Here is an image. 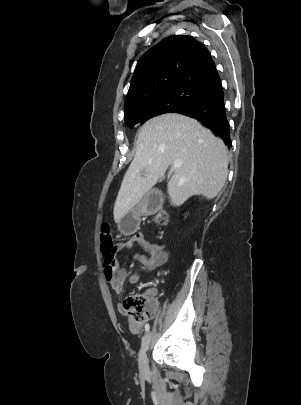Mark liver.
Listing matches in <instances>:
<instances>
[{
  "label": "liver",
  "instance_id": "6515ba94",
  "mask_svg": "<svg viewBox=\"0 0 301 405\" xmlns=\"http://www.w3.org/2000/svg\"><path fill=\"white\" fill-rule=\"evenodd\" d=\"M175 160L181 165L174 167L167 183L172 205L180 206L194 195L212 199L225 185L228 156L221 139L187 116L169 113L154 117L139 131L134 159L115 201L116 223L140 202Z\"/></svg>",
  "mask_w": 301,
  "mask_h": 405
}]
</instances>
